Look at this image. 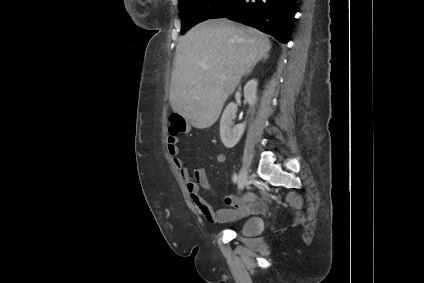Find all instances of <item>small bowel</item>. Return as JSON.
Returning a JSON list of instances; mask_svg holds the SVG:
<instances>
[{"mask_svg":"<svg viewBox=\"0 0 424 283\" xmlns=\"http://www.w3.org/2000/svg\"><path fill=\"white\" fill-rule=\"evenodd\" d=\"M179 142L180 138L178 136H169L168 151L173 157L174 163L185 181L189 197L195 209L207 221L210 223L233 221L248 212H255L263 208V201L258 200L253 194H248L245 198H236L228 195L224 198V203L232 208L214 210L201 196L200 192L201 189H203L214 194L206 170L204 168H196L193 172H190L187 165L179 158ZM217 161L221 164H225L227 162V157L224 154H219L217 156Z\"/></svg>","mask_w":424,"mask_h":283,"instance_id":"small-bowel-1","label":"small bowel"}]
</instances>
